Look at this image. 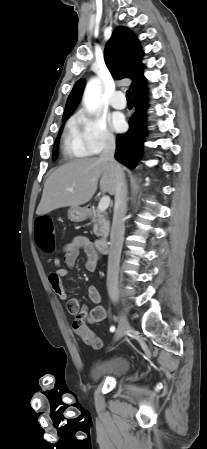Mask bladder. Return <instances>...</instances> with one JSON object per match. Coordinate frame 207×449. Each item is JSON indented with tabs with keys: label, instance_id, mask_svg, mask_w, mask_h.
Returning <instances> with one entry per match:
<instances>
[{
	"label": "bladder",
	"instance_id": "bladder-1",
	"mask_svg": "<svg viewBox=\"0 0 207 449\" xmlns=\"http://www.w3.org/2000/svg\"><path fill=\"white\" fill-rule=\"evenodd\" d=\"M130 368V363L125 357H116L97 364L91 371L92 380H99L107 377H122Z\"/></svg>",
	"mask_w": 207,
	"mask_h": 449
}]
</instances>
